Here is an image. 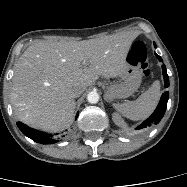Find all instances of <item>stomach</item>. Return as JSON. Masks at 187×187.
I'll return each mask as SVG.
<instances>
[{"label":"stomach","instance_id":"stomach-1","mask_svg":"<svg viewBox=\"0 0 187 187\" xmlns=\"http://www.w3.org/2000/svg\"><path fill=\"white\" fill-rule=\"evenodd\" d=\"M127 64L119 74V81L108 87L105 93L107 100L128 98L140 87L142 73L139 66Z\"/></svg>","mask_w":187,"mask_h":187}]
</instances>
